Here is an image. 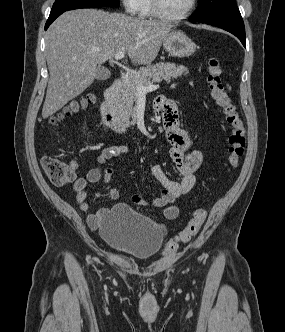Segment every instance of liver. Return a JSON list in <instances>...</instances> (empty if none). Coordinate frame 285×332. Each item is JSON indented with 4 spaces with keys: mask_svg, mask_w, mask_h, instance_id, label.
<instances>
[{
    "mask_svg": "<svg viewBox=\"0 0 285 332\" xmlns=\"http://www.w3.org/2000/svg\"><path fill=\"white\" fill-rule=\"evenodd\" d=\"M171 31L167 23L76 9L63 13L46 33L49 81L42 109L45 119L88 88L97 65L127 52L134 65L150 64Z\"/></svg>",
    "mask_w": 285,
    "mask_h": 332,
    "instance_id": "1",
    "label": "liver"
}]
</instances>
